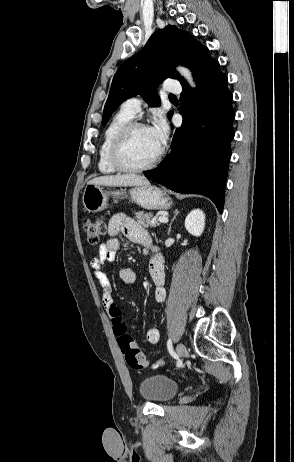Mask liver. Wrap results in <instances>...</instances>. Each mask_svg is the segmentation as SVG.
Segmentation results:
<instances>
[{"instance_id":"6515ba94","label":"liver","mask_w":294,"mask_h":462,"mask_svg":"<svg viewBox=\"0 0 294 462\" xmlns=\"http://www.w3.org/2000/svg\"><path fill=\"white\" fill-rule=\"evenodd\" d=\"M88 184L105 185V186H141L149 185V181L141 175L123 174V175H106L96 177Z\"/></svg>"}]
</instances>
